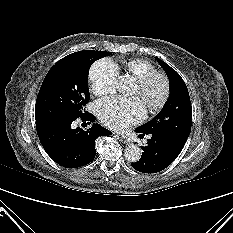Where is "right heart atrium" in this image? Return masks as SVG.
<instances>
[{"mask_svg": "<svg viewBox=\"0 0 233 233\" xmlns=\"http://www.w3.org/2000/svg\"><path fill=\"white\" fill-rule=\"evenodd\" d=\"M118 73L117 65L110 59L96 61L89 70L92 92L97 96L111 93L115 88Z\"/></svg>", "mask_w": 233, "mask_h": 233, "instance_id": "d8ad5b80", "label": "right heart atrium"}]
</instances>
